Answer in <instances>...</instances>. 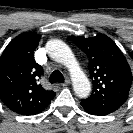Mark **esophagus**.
I'll return each mask as SVG.
<instances>
[{"mask_svg":"<svg viewBox=\"0 0 133 133\" xmlns=\"http://www.w3.org/2000/svg\"><path fill=\"white\" fill-rule=\"evenodd\" d=\"M70 84V80L67 79L64 83H62V86H68Z\"/></svg>","mask_w":133,"mask_h":133,"instance_id":"obj_1","label":"esophagus"}]
</instances>
